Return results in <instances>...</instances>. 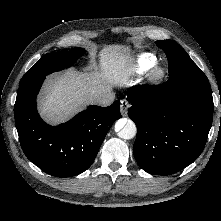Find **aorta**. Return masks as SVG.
I'll use <instances>...</instances> for the list:
<instances>
[{"mask_svg":"<svg viewBox=\"0 0 221 221\" xmlns=\"http://www.w3.org/2000/svg\"><path fill=\"white\" fill-rule=\"evenodd\" d=\"M115 131L121 139L130 140L136 136L137 128L132 120L121 118L115 124Z\"/></svg>","mask_w":221,"mask_h":221,"instance_id":"1","label":"aorta"}]
</instances>
